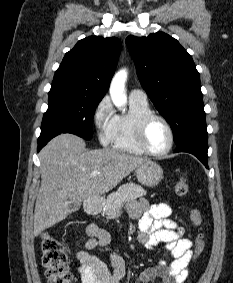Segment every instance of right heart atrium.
<instances>
[{
    "label": "right heart atrium",
    "mask_w": 233,
    "mask_h": 283,
    "mask_svg": "<svg viewBox=\"0 0 233 283\" xmlns=\"http://www.w3.org/2000/svg\"><path fill=\"white\" fill-rule=\"evenodd\" d=\"M116 114L109 97H103L93 112V124L101 145L108 146L112 142Z\"/></svg>",
    "instance_id": "obj_1"
}]
</instances>
